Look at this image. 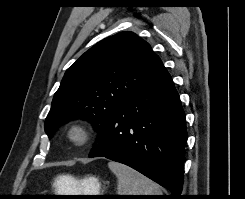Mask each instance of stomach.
Masks as SVG:
<instances>
[{
    "label": "stomach",
    "mask_w": 245,
    "mask_h": 199,
    "mask_svg": "<svg viewBox=\"0 0 245 199\" xmlns=\"http://www.w3.org/2000/svg\"><path fill=\"white\" fill-rule=\"evenodd\" d=\"M56 187L65 195H99L101 183L94 176H86L83 179H75L71 176H61L55 181Z\"/></svg>",
    "instance_id": "0dacf381"
}]
</instances>
